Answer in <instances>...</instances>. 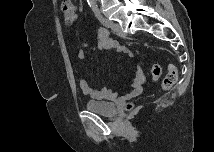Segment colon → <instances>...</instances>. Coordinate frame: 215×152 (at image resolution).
Masks as SVG:
<instances>
[{
    "label": "colon",
    "instance_id": "colon-1",
    "mask_svg": "<svg viewBox=\"0 0 215 152\" xmlns=\"http://www.w3.org/2000/svg\"><path fill=\"white\" fill-rule=\"evenodd\" d=\"M62 13L65 23L70 25L77 18L76 6L71 1H64L62 4ZM151 80L157 81L161 76V67L159 64H153L151 67ZM177 68L174 65H170L168 68V73L165 75L162 81L163 90H169L177 81ZM133 104L129 102L126 105V110L131 111L133 109Z\"/></svg>",
    "mask_w": 215,
    "mask_h": 152
}]
</instances>
